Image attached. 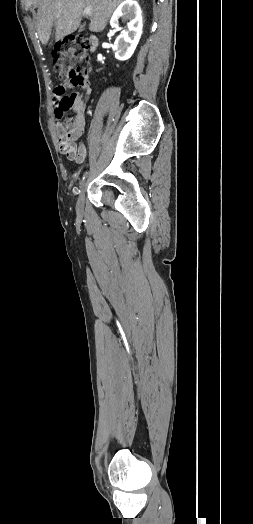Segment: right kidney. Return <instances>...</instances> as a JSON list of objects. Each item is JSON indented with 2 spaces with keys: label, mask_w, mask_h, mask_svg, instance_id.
<instances>
[{
  "label": "right kidney",
  "mask_w": 253,
  "mask_h": 524,
  "mask_svg": "<svg viewBox=\"0 0 253 524\" xmlns=\"http://www.w3.org/2000/svg\"><path fill=\"white\" fill-rule=\"evenodd\" d=\"M129 21L127 29L123 30L114 42L115 57L118 60H128L134 53L140 40L143 28L141 8L134 0H125L113 13L110 20L112 28L119 27V20Z\"/></svg>",
  "instance_id": "obj_1"
}]
</instances>
